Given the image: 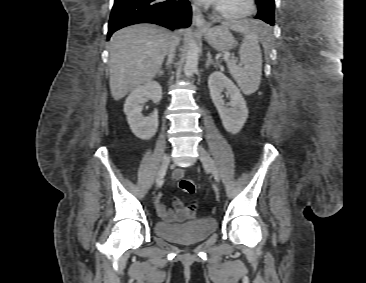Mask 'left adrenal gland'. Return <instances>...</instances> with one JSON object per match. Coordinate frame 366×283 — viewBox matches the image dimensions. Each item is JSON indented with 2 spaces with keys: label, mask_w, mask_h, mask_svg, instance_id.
Listing matches in <instances>:
<instances>
[{
  "label": "left adrenal gland",
  "mask_w": 366,
  "mask_h": 283,
  "mask_svg": "<svg viewBox=\"0 0 366 283\" xmlns=\"http://www.w3.org/2000/svg\"><path fill=\"white\" fill-rule=\"evenodd\" d=\"M207 56H208V59L206 61V68L208 69L210 67V65H213L214 67H217L215 65V63L213 62V60L211 59V53L210 52H208Z\"/></svg>",
  "instance_id": "obj_1"
}]
</instances>
